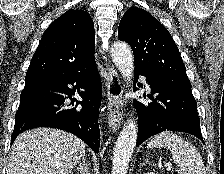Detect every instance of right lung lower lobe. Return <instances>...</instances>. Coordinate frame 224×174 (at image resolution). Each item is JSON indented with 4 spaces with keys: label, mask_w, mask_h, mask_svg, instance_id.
<instances>
[{
    "label": "right lung lower lobe",
    "mask_w": 224,
    "mask_h": 174,
    "mask_svg": "<svg viewBox=\"0 0 224 174\" xmlns=\"http://www.w3.org/2000/svg\"><path fill=\"white\" fill-rule=\"evenodd\" d=\"M76 92L82 101L72 99ZM101 98L102 85L96 63L80 71L26 82L15 115L11 143L26 130L52 127L78 136L94 152H98ZM67 99H72V102L68 103ZM74 103L81 104L82 108H70Z\"/></svg>",
    "instance_id": "98d812e1"
}]
</instances>
